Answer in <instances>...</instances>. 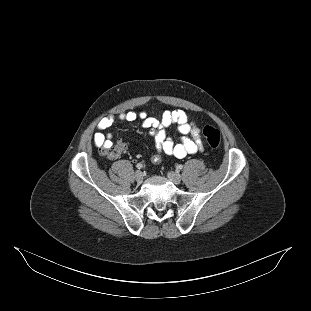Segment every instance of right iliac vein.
<instances>
[{"label":"right iliac vein","instance_id":"right-iliac-vein-1","mask_svg":"<svg viewBox=\"0 0 311 311\" xmlns=\"http://www.w3.org/2000/svg\"><path fill=\"white\" fill-rule=\"evenodd\" d=\"M134 178L135 180L138 182V183H141L143 181V174L141 171H136L135 172V175H134Z\"/></svg>","mask_w":311,"mask_h":311}]
</instances>
